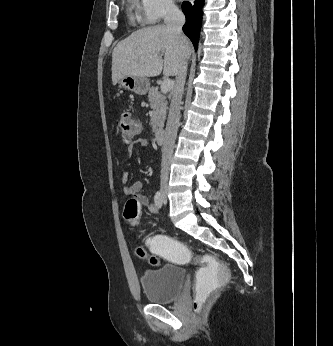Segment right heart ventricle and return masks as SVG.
Wrapping results in <instances>:
<instances>
[{"label":"right heart ventricle","mask_w":333,"mask_h":346,"mask_svg":"<svg viewBox=\"0 0 333 346\" xmlns=\"http://www.w3.org/2000/svg\"><path fill=\"white\" fill-rule=\"evenodd\" d=\"M129 1V11L132 19L141 20V16L136 9V3L138 0H128Z\"/></svg>","instance_id":"obj_1"}]
</instances>
